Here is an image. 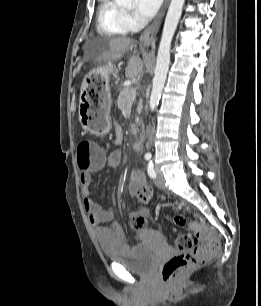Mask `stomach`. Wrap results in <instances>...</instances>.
Instances as JSON below:
<instances>
[{
	"label": "stomach",
	"instance_id": "obj_1",
	"mask_svg": "<svg viewBox=\"0 0 261 306\" xmlns=\"http://www.w3.org/2000/svg\"><path fill=\"white\" fill-rule=\"evenodd\" d=\"M110 107L111 95L105 77H97L96 82L89 86L85 81L79 103V121L82 127L92 134L106 133L111 127Z\"/></svg>",
	"mask_w": 261,
	"mask_h": 306
}]
</instances>
